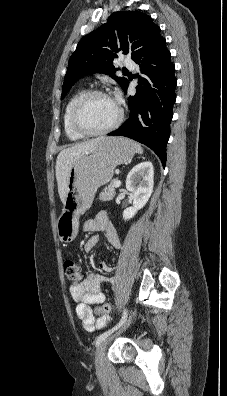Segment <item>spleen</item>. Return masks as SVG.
<instances>
[{
	"instance_id": "obj_1",
	"label": "spleen",
	"mask_w": 227,
	"mask_h": 396,
	"mask_svg": "<svg viewBox=\"0 0 227 396\" xmlns=\"http://www.w3.org/2000/svg\"><path fill=\"white\" fill-rule=\"evenodd\" d=\"M135 145H136L137 152H138L139 154H142V153H143V148L141 147V145L138 144V143H135Z\"/></svg>"
}]
</instances>
